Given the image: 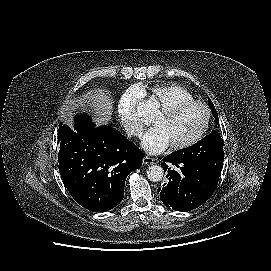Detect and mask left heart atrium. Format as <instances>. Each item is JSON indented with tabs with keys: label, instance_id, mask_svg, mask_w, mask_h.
Instances as JSON below:
<instances>
[{
	"label": "left heart atrium",
	"instance_id": "39dd6f15",
	"mask_svg": "<svg viewBox=\"0 0 271 271\" xmlns=\"http://www.w3.org/2000/svg\"><path fill=\"white\" fill-rule=\"evenodd\" d=\"M141 144L145 151L153 155L162 153L170 146L165 133L158 126L150 128L145 133Z\"/></svg>",
	"mask_w": 271,
	"mask_h": 271
}]
</instances>
